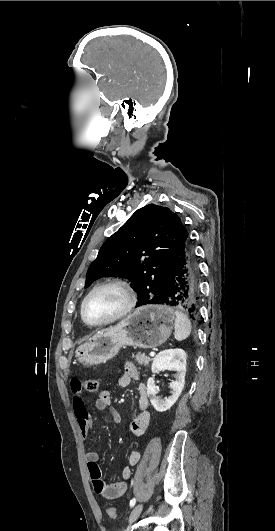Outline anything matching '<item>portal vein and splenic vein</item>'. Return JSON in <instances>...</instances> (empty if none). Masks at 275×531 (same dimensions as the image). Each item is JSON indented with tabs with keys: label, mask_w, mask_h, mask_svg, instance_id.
Here are the masks:
<instances>
[{
	"label": "portal vein and splenic vein",
	"mask_w": 275,
	"mask_h": 531,
	"mask_svg": "<svg viewBox=\"0 0 275 531\" xmlns=\"http://www.w3.org/2000/svg\"><path fill=\"white\" fill-rule=\"evenodd\" d=\"M155 353H150V357H154Z\"/></svg>",
	"instance_id": "obj_1"
}]
</instances>
